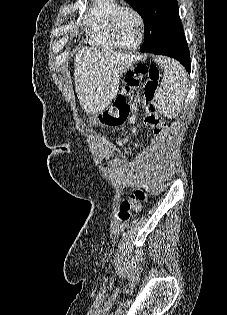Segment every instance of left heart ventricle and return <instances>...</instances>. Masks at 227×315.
<instances>
[{
    "mask_svg": "<svg viewBox=\"0 0 227 315\" xmlns=\"http://www.w3.org/2000/svg\"><path fill=\"white\" fill-rule=\"evenodd\" d=\"M115 34L122 45H135L139 38V24L135 15L131 12L123 13L116 24Z\"/></svg>",
    "mask_w": 227,
    "mask_h": 315,
    "instance_id": "1",
    "label": "left heart ventricle"
}]
</instances>
